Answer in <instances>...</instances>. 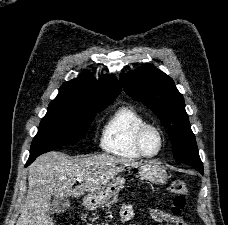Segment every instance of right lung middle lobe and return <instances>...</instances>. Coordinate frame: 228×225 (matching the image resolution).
Masks as SVG:
<instances>
[{
	"label": "right lung middle lobe",
	"instance_id": "right-lung-middle-lobe-1",
	"mask_svg": "<svg viewBox=\"0 0 228 225\" xmlns=\"http://www.w3.org/2000/svg\"><path fill=\"white\" fill-rule=\"evenodd\" d=\"M107 106L53 100L33 139L31 151L76 144L85 136L96 113Z\"/></svg>",
	"mask_w": 228,
	"mask_h": 225
}]
</instances>
